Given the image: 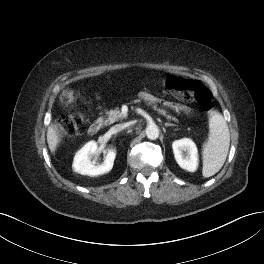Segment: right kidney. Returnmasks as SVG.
<instances>
[{
    "label": "right kidney",
    "mask_w": 264,
    "mask_h": 264,
    "mask_svg": "<svg viewBox=\"0 0 264 264\" xmlns=\"http://www.w3.org/2000/svg\"><path fill=\"white\" fill-rule=\"evenodd\" d=\"M97 143L90 141L86 143L75 155L73 169L81 175L97 176L109 172L116 157L114 150H108L104 162L96 165L91 162V156L97 153Z\"/></svg>",
    "instance_id": "1"
}]
</instances>
